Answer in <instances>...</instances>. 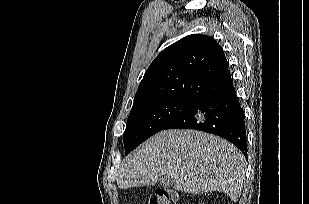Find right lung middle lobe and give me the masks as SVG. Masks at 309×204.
I'll return each mask as SVG.
<instances>
[{
  "instance_id": "right-lung-middle-lobe-1",
  "label": "right lung middle lobe",
  "mask_w": 309,
  "mask_h": 204,
  "mask_svg": "<svg viewBox=\"0 0 309 204\" xmlns=\"http://www.w3.org/2000/svg\"><path fill=\"white\" fill-rule=\"evenodd\" d=\"M197 102L186 98H160L133 105L123 134L125 153L128 154L153 134L163 130Z\"/></svg>"
}]
</instances>
